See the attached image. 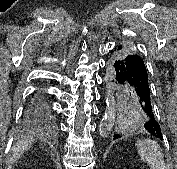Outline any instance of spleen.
I'll list each match as a JSON object with an SVG mask.
<instances>
[{"mask_svg": "<svg viewBox=\"0 0 177 169\" xmlns=\"http://www.w3.org/2000/svg\"><path fill=\"white\" fill-rule=\"evenodd\" d=\"M135 146L141 160L146 162L150 169H166L162 149L156 141L144 138L138 140Z\"/></svg>", "mask_w": 177, "mask_h": 169, "instance_id": "3e777b00", "label": "spleen"}]
</instances>
